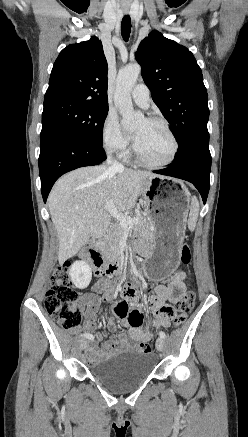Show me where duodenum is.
I'll list each match as a JSON object with an SVG mask.
<instances>
[{"label":"duodenum","instance_id":"obj_1","mask_svg":"<svg viewBox=\"0 0 248 437\" xmlns=\"http://www.w3.org/2000/svg\"><path fill=\"white\" fill-rule=\"evenodd\" d=\"M110 231V228L108 227L105 230V234H108ZM103 258L102 254V241L96 242L86 253V259L91 262L94 265H98L99 262H101ZM119 263L115 261H109L104 264L103 269L98 271V275H104V274H113L119 269Z\"/></svg>","mask_w":248,"mask_h":437}]
</instances>
